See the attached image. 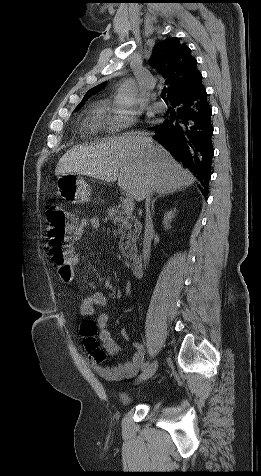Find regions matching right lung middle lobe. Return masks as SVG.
Returning <instances> with one entry per match:
<instances>
[{
    "label": "right lung middle lobe",
    "instance_id": "obj_1",
    "mask_svg": "<svg viewBox=\"0 0 261 476\" xmlns=\"http://www.w3.org/2000/svg\"><path fill=\"white\" fill-rule=\"evenodd\" d=\"M80 107H81V106H79V107H76V109H75V110L79 109Z\"/></svg>",
    "mask_w": 261,
    "mask_h": 476
}]
</instances>
